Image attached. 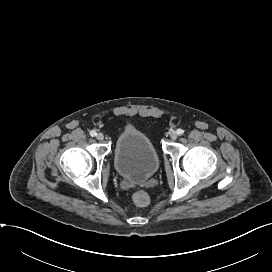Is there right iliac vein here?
<instances>
[{
  "label": "right iliac vein",
  "mask_w": 272,
  "mask_h": 272,
  "mask_svg": "<svg viewBox=\"0 0 272 272\" xmlns=\"http://www.w3.org/2000/svg\"><path fill=\"white\" fill-rule=\"evenodd\" d=\"M96 139L99 140V141H101V140L104 139V135L102 133H97L96 134Z\"/></svg>",
  "instance_id": "63e3f726"
}]
</instances>
